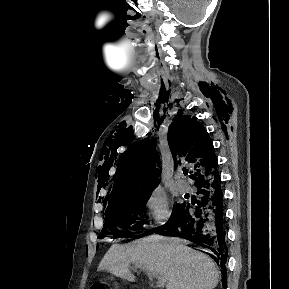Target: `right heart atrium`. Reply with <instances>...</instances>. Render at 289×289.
Listing matches in <instances>:
<instances>
[{
	"instance_id": "obj_1",
	"label": "right heart atrium",
	"mask_w": 289,
	"mask_h": 289,
	"mask_svg": "<svg viewBox=\"0 0 289 289\" xmlns=\"http://www.w3.org/2000/svg\"><path fill=\"white\" fill-rule=\"evenodd\" d=\"M145 208L152 227L161 226L169 219V201L165 192L159 188L153 189L149 193L145 200Z\"/></svg>"
}]
</instances>
